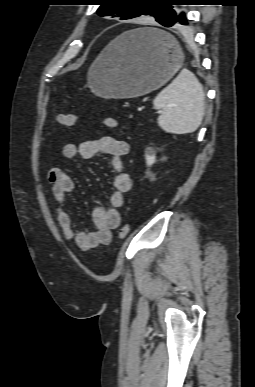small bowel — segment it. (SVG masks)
Segmentation results:
<instances>
[{
    "label": "small bowel",
    "mask_w": 255,
    "mask_h": 387,
    "mask_svg": "<svg viewBox=\"0 0 255 387\" xmlns=\"http://www.w3.org/2000/svg\"><path fill=\"white\" fill-rule=\"evenodd\" d=\"M129 151V144L111 136H103L84 141L78 145L66 144L63 155L68 159H90L97 155L110 158L115 172L114 189L109 198V206H97L92 211L95 226L93 231H82L74 227L71 214L66 209L67 196L75 189L74 180L60 168L48 171L53 198L57 202L56 216L66 240L72 241L79 249L88 251L100 245H107L112 239V231L121 224L119 209L124 204V195L132 186V180L123 169L122 159Z\"/></svg>",
    "instance_id": "c3829d8e"
}]
</instances>
